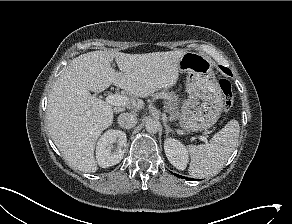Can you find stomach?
I'll return each instance as SVG.
<instances>
[{
    "mask_svg": "<svg viewBox=\"0 0 292 224\" xmlns=\"http://www.w3.org/2000/svg\"><path fill=\"white\" fill-rule=\"evenodd\" d=\"M213 65L209 57L195 52H185L179 60L178 71L186 73L188 93L179 124L188 133L208 129L222 112L223 95Z\"/></svg>",
    "mask_w": 292,
    "mask_h": 224,
    "instance_id": "1",
    "label": "stomach"
}]
</instances>
